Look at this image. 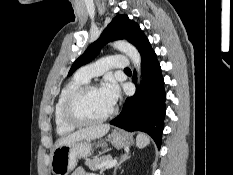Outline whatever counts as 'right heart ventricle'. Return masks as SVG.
Returning a JSON list of instances; mask_svg holds the SVG:
<instances>
[{
    "instance_id": "e07e8e85",
    "label": "right heart ventricle",
    "mask_w": 233,
    "mask_h": 175,
    "mask_svg": "<svg viewBox=\"0 0 233 175\" xmlns=\"http://www.w3.org/2000/svg\"><path fill=\"white\" fill-rule=\"evenodd\" d=\"M87 81L75 76L73 77L69 82H67L62 90L60 91V94L57 98L55 109H54V123L56 127V131L60 135H66L74 131L76 126L71 125L66 122V120L63 117V105L67 97L78 87L86 84Z\"/></svg>"
}]
</instances>
